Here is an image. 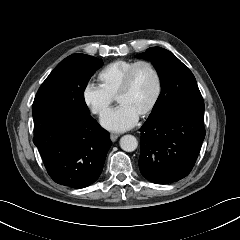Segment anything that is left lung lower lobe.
<instances>
[{
    "label": "left lung lower lobe",
    "instance_id": "left-lung-lower-lobe-1",
    "mask_svg": "<svg viewBox=\"0 0 240 240\" xmlns=\"http://www.w3.org/2000/svg\"><path fill=\"white\" fill-rule=\"evenodd\" d=\"M142 175L150 182L168 184L186 177L192 170L205 137L204 110L179 108L141 129Z\"/></svg>",
    "mask_w": 240,
    "mask_h": 240
}]
</instances>
